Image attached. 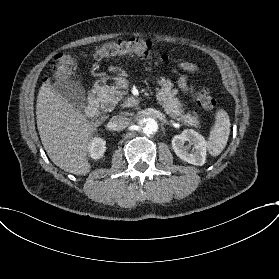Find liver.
Here are the masks:
<instances>
[{"instance_id": "liver-1", "label": "liver", "mask_w": 279, "mask_h": 279, "mask_svg": "<svg viewBox=\"0 0 279 279\" xmlns=\"http://www.w3.org/2000/svg\"><path fill=\"white\" fill-rule=\"evenodd\" d=\"M36 109L38 132L49 159L70 174H89L88 146L106 119L87 120L50 81L42 84Z\"/></svg>"}]
</instances>
